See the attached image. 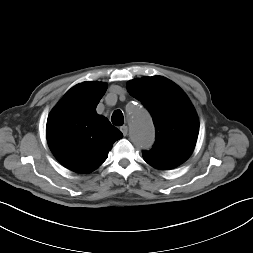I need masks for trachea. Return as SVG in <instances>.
Listing matches in <instances>:
<instances>
[{"label":"trachea","mask_w":253,"mask_h":253,"mask_svg":"<svg viewBox=\"0 0 253 253\" xmlns=\"http://www.w3.org/2000/svg\"><path fill=\"white\" fill-rule=\"evenodd\" d=\"M111 121L116 126H122L124 123V117L120 110L114 111L111 117Z\"/></svg>","instance_id":"3493384b"}]
</instances>
